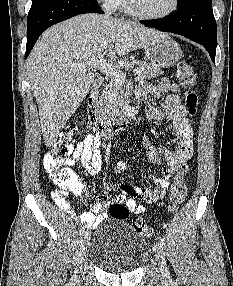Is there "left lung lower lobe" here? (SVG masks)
<instances>
[{"mask_svg":"<svg viewBox=\"0 0 233 286\" xmlns=\"http://www.w3.org/2000/svg\"><path fill=\"white\" fill-rule=\"evenodd\" d=\"M140 23L183 35L203 45L211 60L215 62L217 28L211 0H187L178 7L176 13L160 19L143 20Z\"/></svg>","mask_w":233,"mask_h":286,"instance_id":"left-lung-lower-lobe-1","label":"left lung lower lobe"}]
</instances>
